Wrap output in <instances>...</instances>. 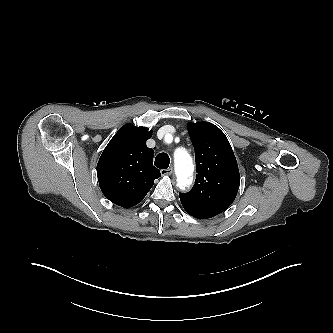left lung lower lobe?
I'll use <instances>...</instances> for the list:
<instances>
[{
  "mask_svg": "<svg viewBox=\"0 0 333 333\" xmlns=\"http://www.w3.org/2000/svg\"><path fill=\"white\" fill-rule=\"evenodd\" d=\"M188 214H190L191 216H194L196 218H200V219H207V218H211L213 216L206 214V213H202V212H197V211H192V210H187L185 209Z\"/></svg>",
  "mask_w": 333,
  "mask_h": 333,
  "instance_id": "obj_1",
  "label": "left lung lower lobe"
}]
</instances>
